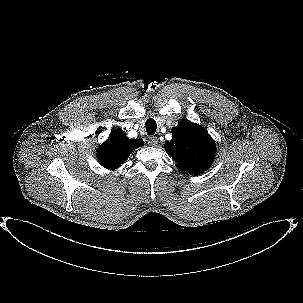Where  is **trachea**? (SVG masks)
<instances>
[{
  "mask_svg": "<svg viewBox=\"0 0 303 303\" xmlns=\"http://www.w3.org/2000/svg\"><path fill=\"white\" fill-rule=\"evenodd\" d=\"M146 132L148 135H153L156 132L157 124L156 121L152 118H149L146 123Z\"/></svg>",
  "mask_w": 303,
  "mask_h": 303,
  "instance_id": "1",
  "label": "trachea"
}]
</instances>
